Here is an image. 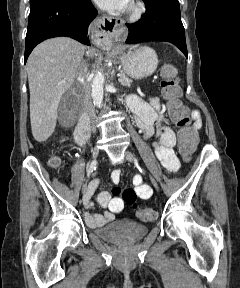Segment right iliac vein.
Instances as JSON below:
<instances>
[{"label": "right iliac vein", "mask_w": 240, "mask_h": 288, "mask_svg": "<svg viewBox=\"0 0 240 288\" xmlns=\"http://www.w3.org/2000/svg\"><path fill=\"white\" fill-rule=\"evenodd\" d=\"M99 154V149L97 147H95L93 150H92V161H91V164L89 166V169L92 167V163L96 160L97 156ZM88 188V183L87 181L83 184L82 186V193L85 194L86 190Z\"/></svg>", "instance_id": "obj_1"}]
</instances>
